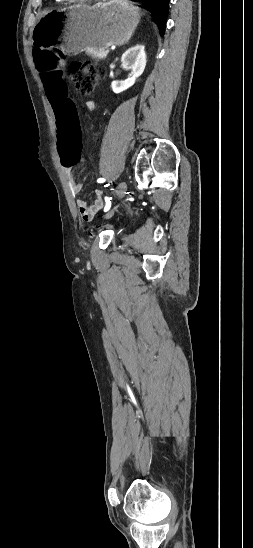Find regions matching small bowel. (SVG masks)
<instances>
[{"mask_svg": "<svg viewBox=\"0 0 253 548\" xmlns=\"http://www.w3.org/2000/svg\"><path fill=\"white\" fill-rule=\"evenodd\" d=\"M51 60H63V59L60 58V57H57V58H54V59H51ZM51 106H52V109H53V105H51ZM86 106H87L88 109H93L94 108V103L92 101H88L86 103ZM71 168H72V166H63V171H64L65 177H66V179H67V181L70 185L72 193L75 196H77L81 192L82 185H81V183L76 181V179H75V177L72 173ZM102 204H103L102 201L100 199H97V200L94 201V203L92 205L89 206L83 199L76 198V205H77L78 211L80 213V216L85 221L92 220L93 217L95 216V214L101 209Z\"/></svg>", "mask_w": 253, "mask_h": 548, "instance_id": "small-bowel-1", "label": "small bowel"}]
</instances>
